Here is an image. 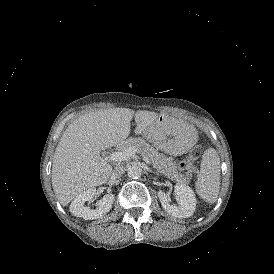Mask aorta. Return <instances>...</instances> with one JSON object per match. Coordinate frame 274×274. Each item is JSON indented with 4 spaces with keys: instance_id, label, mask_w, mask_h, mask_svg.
<instances>
[{
    "instance_id": "762f6f07",
    "label": "aorta",
    "mask_w": 274,
    "mask_h": 274,
    "mask_svg": "<svg viewBox=\"0 0 274 274\" xmlns=\"http://www.w3.org/2000/svg\"><path fill=\"white\" fill-rule=\"evenodd\" d=\"M142 169L137 165H132L128 168V176L133 179H137L141 176Z\"/></svg>"
}]
</instances>
